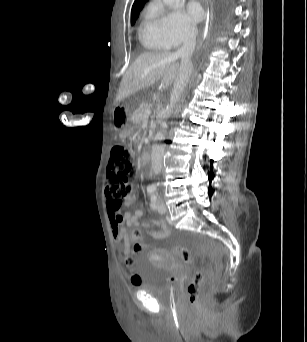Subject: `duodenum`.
Returning a JSON list of instances; mask_svg holds the SVG:
<instances>
[{
    "instance_id": "obj_1",
    "label": "duodenum",
    "mask_w": 307,
    "mask_h": 342,
    "mask_svg": "<svg viewBox=\"0 0 307 342\" xmlns=\"http://www.w3.org/2000/svg\"><path fill=\"white\" fill-rule=\"evenodd\" d=\"M149 152L148 151H142L141 152V161L143 165H146L149 161Z\"/></svg>"
}]
</instances>
